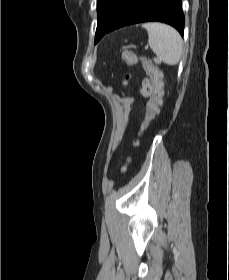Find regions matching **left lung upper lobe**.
<instances>
[{
  "label": "left lung upper lobe",
  "instance_id": "left-lung-upper-lobe-1",
  "mask_svg": "<svg viewBox=\"0 0 229 280\" xmlns=\"http://www.w3.org/2000/svg\"><path fill=\"white\" fill-rule=\"evenodd\" d=\"M129 0H97L98 23L95 39L102 38L125 10Z\"/></svg>",
  "mask_w": 229,
  "mask_h": 280
}]
</instances>
